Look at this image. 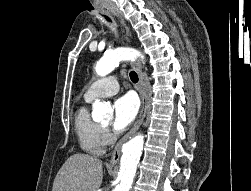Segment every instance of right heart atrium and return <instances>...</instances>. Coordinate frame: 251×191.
I'll use <instances>...</instances> for the list:
<instances>
[{
    "label": "right heart atrium",
    "mask_w": 251,
    "mask_h": 191,
    "mask_svg": "<svg viewBox=\"0 0 251 191\" xmlns=\"http://www.w3.org/2000/svg\"><path fill=\"white\" fill-rule=\"evenodd\" d=\"M103 129H104V141H105V144H110L112 142L111 134H110L107 127H103Z\"/></svg>",
    "instance_id": "1"
}]
</instances>
